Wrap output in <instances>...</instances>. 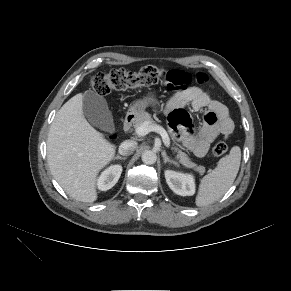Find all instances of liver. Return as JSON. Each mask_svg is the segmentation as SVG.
<instances>
[{
  "label": "liver",
  "instance_id": "obj_1",
  "mask_svg": "<svg viewBox=\"0 0 291 291\" xmlns=\"http://www.w3.org/2000/svg\"><path fill=\"white\" fill-rule=\"evenodd\" d=\"M115 150L85 119L82 93L57 112L48 133L47 160L53 177L70 197L86 203L97 200V176Z\"/></svg>",
  "mask_w": 291,
  "mask_h": 291
}]
</instances>
